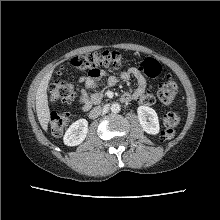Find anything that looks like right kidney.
I'll return each mask as SVG.
<instances>
[{
    "instance_id": "obj_1",
    "label": "right kidney",
    "mask_w": 220,
    "mask_h": 220,
    "mask_svg": "<svg viewBox=\"0 0 220 220\" xmlns=\"http://www.w3.org/2000/svg\"><path fill=\"white\" fill-rule=\"evenodd\" d=\"M88 132V122L86 119H79L72 123L65 132L63 141L67 146H77L86 138Z\"/></svg>"
}]
</instances>
